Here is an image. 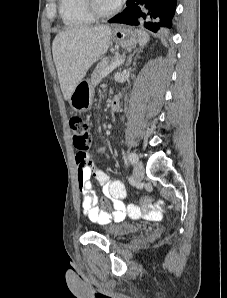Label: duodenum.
Returning <instances> with one entry per match:
<instances>
[{
	"label": "duodenum",
	"instance_id": "obj_1",
	"mask_svg": "<svg viewBox=\"0 0 227 298\" xmlns=\"http://www.w3.org/2000/svg\"><path fill=\"white\" fill-rule=\"evenodd\" d=\"M110 107L112 111H118L120 107V100L117 97H114L110 102Z\"/></svg>",
	"mask_w": 227,
	"mask_h": 298
}]
</instances>
